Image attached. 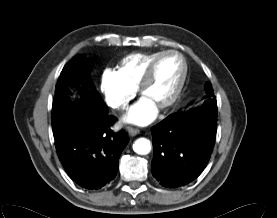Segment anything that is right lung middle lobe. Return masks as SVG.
<instances>
[{
  "mask_svg": "<svg viewBox=\"0 0 277 218\" xmlns=\"http://www.w3.org/2000/svg\"><path fill=\"white\" fill-rule=\"evenodd\" d=\"M91 66V59L85 58V56H75L65 65L60 74L58 82L74 83L82 79L89 82L91 100H89L88 104L76 103L71 100H53L52 128L55 141L71 130L107 113L103 100L96 92L92 82L88 79Z\"/></svg>",
  "mask_w": 277,
  "mask_h": 218,
  "instance_id": "obj_1",
  "label": "right lung middle lobe"
}]
</instances>
